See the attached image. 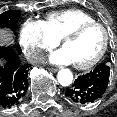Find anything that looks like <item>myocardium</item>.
<instances>
[{"mask_svg":"<svg viewBox=\"0 0 117 117\" xmlns=\"http://www.w3.org/2000/svg\"><path fill=\"white\" fill-rule=\"evenodd\" d=\"M92 27H98L103 31V33H104V43H103L100 51L97 53V55L93 59H91L89 62L83 63V64L74 63V66L77 69H80V70H87V69L92 68L106 54L108 47H109V44H110V34H109L107 27L104 26L103 24L99 23V22H96V21L89 22V23H85V24H82V25L74 28L73 30H71L70 32H68L67 34H65L61 38V44L64 47V45L67 41L74 40V39L78 38L82 33H84L86 30H88Z\"/></svg>","mask_w":117,"mask_h":117,"instance_id":"f54148a6","label":"myocardium"}]
</instances>
